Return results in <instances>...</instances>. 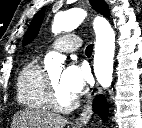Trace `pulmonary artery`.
<instances>
[{"label": "pulmonary artery", "instance_id": "e3ab8cb5", "mask_svg": "<svg viewBox=\"0 0 142 128\" xmlns=\"http://www.w3.org/2000/svg\"><path fill=\"white\" fill-rule=\"evenodd\" d=\"M81 46V39L75 34H68L57 39L51 46L50 49L59 52L71 53L78 50Z\"/></svg>", "mask_w": 142, "mask_h": 128}]
</instances>
